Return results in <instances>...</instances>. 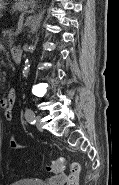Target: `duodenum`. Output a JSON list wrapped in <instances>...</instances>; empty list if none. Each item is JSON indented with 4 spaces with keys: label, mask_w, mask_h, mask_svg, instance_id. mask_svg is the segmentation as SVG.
I'll list each match as a JSON object with an SVG mask.
<instances>
[{
    "label": "duodenum",
    "mask_w": 119,
    "mask_h": 185,
    "mask_svg": "<svg viewBox=\"0 0 119 185\" xmlns=\"http://www.w3.org/2000/svg\"><path fill=\"white\" fill-rule=\"evenodd\" d=\"M12 58L16 64H20L22 61V50L19 48H14L12 50Z\"/></svg>",
    "instance_id": "410a0bca"
}]
</instances>
